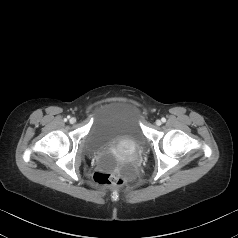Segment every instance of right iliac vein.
I'll return each mask as SVG.
<instances>
[{
	"label": "right iliac vein",
	"mask_w": 238,
	"mask_h": 238,
	"mask_svg": "<svg viewBox=\"0 0 238 238\" xmlns=\"http://www.w3.org/2000/svg\"><path fill=\"white\" fill-rule=\"evenodd\" d=\"M69 121H70L71 124H74L76 122V118L72 117V118H70Z\"/></svg>",
	"instance_id": "right-iliac-vein-1"
}]
</instances>
